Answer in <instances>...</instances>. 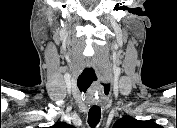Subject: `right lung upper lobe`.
Masks as SVG:
<instances>
[{"instance_id":"right-lung-upper-lobe-1","label":"right lung upper lobe","mask_w":177,"mask_h":128,"mask_svg":"<svg viewBox=\"0 0 177 128\" xmlns=\"http://www.w3.org/2000/svg\"><path fill=\"white\" fill-rule=\"evenodd\" d=\"M53 127L61 128V127H69V125H67L66 123H60V124L54 125Z\"/></svg>"}]
</instances>
